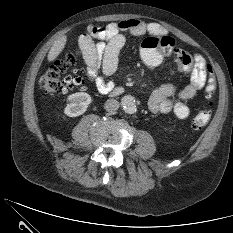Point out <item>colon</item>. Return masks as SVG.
<instances>
[{"label": "colon", "instance_id": "colon-1", "mask_svg": "<svg viewBox=\"0 0 233 233\" xmlns=\"http://www.w3.org/2000/svg\"><path fill=\"white\" fill-rule=\"evenodd\" d=\"M167 55H173L175 65L179 71L183 73L192 71L193 57L187 51L176 48L175 40L171 36L152 35L145 38L141 44V58L149 68L160 65ZM77 61L78 55L74 52H69L54 61L40 76V88L48 94H61L81 85L84 81L80 75L77 73L66 75L67 70L75 66ZM207 72L210 74L207 92L208 95H211L215 89V84L208 66ZM210 119V112L206 110L199 111L192 120V126L200 129L206 126Z\"/></svg>", "mask_w": 233, "mask_h": 233}]
</instances>
